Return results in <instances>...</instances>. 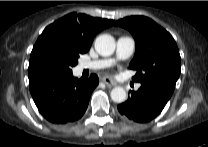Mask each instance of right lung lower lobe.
<instances>
[{"label":"right lung lower lobe","mask_w":208,"mask_h":147,"mask_svg":"<svg viewBox=\"0 0 208 147\" xmlns=\"http://www.w3.org/2000/svg\"><path fill=\"white\" fill-rule=\"evenodd\" d=\"M98 83L95 74L78 80L71 73L42 77L30 82L29 87L40 113L52 123L65 124L82 117Z\"/></svg>","instance_id":"1"}]
</instances>
